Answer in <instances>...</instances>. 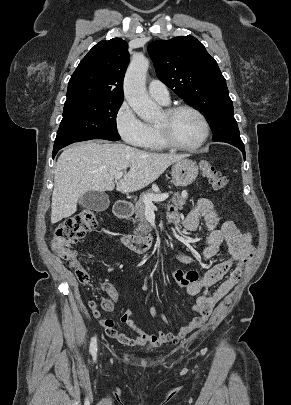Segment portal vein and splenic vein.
I'll return each mask as SVG.
<instances>
[{
    "label": "portal vein and splenic vein",
    "mask_w": 291,
    "mask_h": 405,
    "mask_svg": "<svg viewBox=\"0 0 291 405\" xmlns=\"http://www.w3.org/2000/svg\"><path fill=\"white\" fill-rule=\"evenodd\" d=\"M122 176H123V172L121 171V172H117V173L115 174V177H114V178H115V180L117 181V180L121 179ZM168 197H169V194H168V193L145 195V196L143 197V202H144V204H145L146 206H153V201L161 202V201L166 200Z\"/></svg>",
    "instance_id": "portal-vein-and-splenic-vein-1"
}]
</instances>
